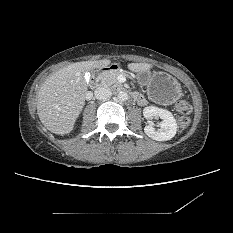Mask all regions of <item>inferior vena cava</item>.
I'll list each match as a JSON object with an SVG mask.
<instances>
[{
  "mask_svg": "<svg viewBox=\"0 0 233 233\" xmlns=\"http://www.w3.org/2000/svg\"><path fill=\"white\" fill-rule=\"evenodd\" d=\"M94 94L98 100H106L112 96L111 89L107 86L98 87Z\"/></svg>",
  "mask_w": 233,
  "mask_h": 233,
  "instance_id": "inferior-vena-cava-1",
  "label": "inferior vena cava"
}]
</instances>
